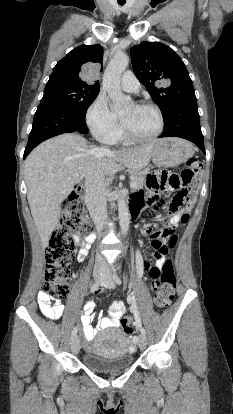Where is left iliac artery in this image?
Instances as JSON below:
<instances>
[{
    "instance_id": "44dca946",
    "label": "left iliac artery",
    "mask_w": 233,
    "mask_h": 414,
    "mask_svg": "<svg viewBox=\"0 0 233 414\" xmlns=\"http://www.w3.org/2000/svg\"><path fill=\"white\" fill-rule=\"evenodd\" d=\"M113 279H114V281H115L117 284H121V283H122L121 279L118 277V275H117V273H116V270H115V271H114V273H113ZM133 312H134V315H135L136 322H137L138 326L140 327V331H141V333H142L143 335H145V334H146V332H145V329L141 326V318H140V316H139V311H138V308H137V306H136V303H135V304H134V306H133Z\"/></svg>"
}]
</instances>
